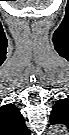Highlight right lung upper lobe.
Returning <instances> with one entry per match:
<instances>
[{"mask_svg": "<svg viewBox=\"0 0 69 135\" xmlns=\"http://www.w3.org/2000/svg\"><path fill=\"white\" fill-rule=\"evenodd\" d=\"M0 120L3 135H30L24 117L13 104H7L0 109Z\"/></svg>", "mask_w": 69, "mask_h": 135, "instance_id": "1", "label": "right lung upper lobe"}]
</instances>
